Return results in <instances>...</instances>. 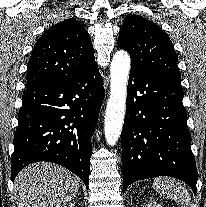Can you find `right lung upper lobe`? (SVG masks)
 <instances>
[{
  "instance_id": "right-lung-upper-lobe-1",
  "label": "right lung upper lobe",
  "mask_w": 206,
  "mask_h": 207,
  "mask_svg": "<svg viewBox=\"0 0 206 207\" xmlns=\"http://www.w3.org/2000/svg\"><path fill=\"white\" fill-rule=\"evenodd\" d=\"M96 66L88 32L75 19L51 26L36 42L28 62L27 87L68 80Z\"/></svg>"
}]
</instances>
